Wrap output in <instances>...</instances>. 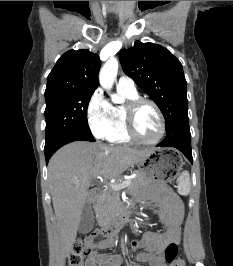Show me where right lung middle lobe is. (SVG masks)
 I'll return each instance as SVG.
<instances>
[{
	"mask_svg": "<svg viewBox=\"0 0 233 266\" xmlns=\"http://www.w3.org/2000/svg\"><path fill=\"white\" fill-rule=\"evenodd\" d=\"M93 92L59 94L46 99V143L76 133H89L87 108Z\"/></svg>",
	"mask_w": 233,
	"mask_h": 266,
	"instance_id": "dd1d6c3e",
	"label": "right lung middle lobe"
}]
</instances>
